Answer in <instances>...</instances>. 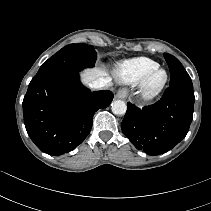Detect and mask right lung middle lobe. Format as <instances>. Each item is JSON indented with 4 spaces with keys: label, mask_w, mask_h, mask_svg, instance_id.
<instances>
[{
    "label": "right lung middle lobe",
    "mask_w": 211,
    "mask_h": 211,
    "mask_svg": "<svg viewBox=\"0 0 211 211\" xmlns=\"http://www.w3.org/2000/svg\"><path fill=\"white\" fill-rule=\"evenodd\" d=\"M96 56L94 48L90 45L70 44L45 61L36 75L57 71H80L85 67H93Z\"/></svg>",
    "instance_id": "obj_1"
}]
</instances>
